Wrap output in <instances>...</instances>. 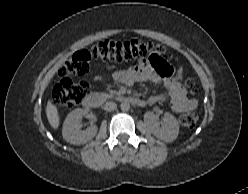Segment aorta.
<instances>
[{"label":"aorta","mask_w":248,"mask_h":194,"mask_svg":"<svg viewBox=\"0 0 248 194\" xmlns=\"http://www.w3.org/2000/svg\"><path fill=\"white\" fill-rule=\"evenodd\" d=\"M120 108L122 111H128L130 109V103L128 101H123Z\"/></svg>","instance_id":"762f6f07"}]
</instances>
